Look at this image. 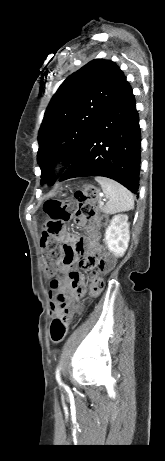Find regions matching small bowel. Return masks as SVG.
<instances>
[{
    "instance_id": "1",
    "label": "small bowel",
    "mask_w": 165,
    "mask_h": 461,
    "mask_svg": "<svg viewBox=\"0 0 165 461\" xmlns=\"http://www.w3.org/2000/svg\"><path fill=\"white\" fill-rule=\"evenodd\" d=\"M77 224V230H68L66 234L69 250L77 251H61L60 264L55 270L64 277L52 280L50 285L51 314L57 316L63 313L68 321L73 317V300L79 299L86 292L84 277L75 269L78 255L83 258L79 265L84 268H96L89 267L87 259L97 255L100 250L99 230L91 225H84L85 221L80 218L77 219Z\"/></svg>"
}]
</instances>
